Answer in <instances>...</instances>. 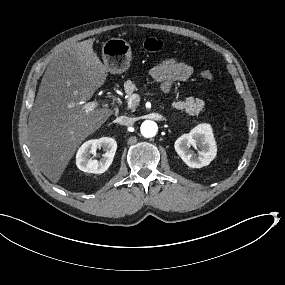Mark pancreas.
Returning <instances> with one entry per match:
<instances>
[{"mask_svg":"<svg viewBox=\"0 0 285 285\" xmlns=\"http://www.w3.org/2000/svg\"><path fill=\"white\" fill-rule=\"evenodd\" d=\"M124 91L128 96L133 93L140 92L142 87L137 82H132V80L127 79L123 83ZM203 101L200 99H194V97H188L185 100L173 101L171 106L175 109L180 110L181 113L185 112L188 115H196L199 113L200 109L203 107Z\"/></svg>","mask_w":285,"mask_h":285,"instance_id":"obj_1","label":"pancreas"}]
</instances>
